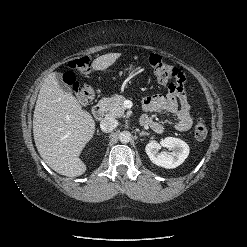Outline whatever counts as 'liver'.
I'll list each match as a JSON object with an SVG mask.
<instances>
[{"instance_id":"6515ba94","label":"liver","mask_w":247,"mask_h":247,"mask_svg":"<svg viewBox=\"0 0 247 247\" xmlns=\"http://www.w3.org/2000/svg\"><path fill=\"white\" fill-rule=\"evenodd\" d=\"M120 56L121 53L102 55L91 66L96 71L105 70ZM95 126L91 114L60 88L56 74H49L40 89L33 115L34 140L45 163L64 176L84 174L86 165L79 156L92 139Z\"/></svg>"}]
</instances>
